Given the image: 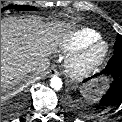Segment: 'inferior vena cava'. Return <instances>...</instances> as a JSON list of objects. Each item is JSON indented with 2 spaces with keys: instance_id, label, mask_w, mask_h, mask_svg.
<instances>
[{
  "instance_id": "obj_1",
  "label": "inferior vena cava",
  "mask_w": 122,
  "mask_h": 122,
  "mask_svg": "<svg viewBox=\"0 0 122 122\" xmlns=\"http://www.w3.org/2000/svg\"><path fill=\"white\" fill-rule=\"evenodd\" d=\"M50 66V62L47 58L42 59L40 62H37L33 67H32V71L33 72H44L45 70H47Z\"/></svg>"
}]
</instances>
